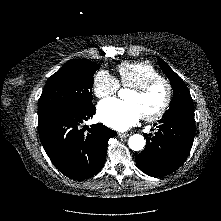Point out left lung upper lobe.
<instances>
[{
	"label": "left lung upper lobe",
	"mask_w": 221,
	"mask_h": 221,
	"mask_svg": "<svg viewBox=\"0 0 221 221\" xmlns=\"http://www.w3.org/2000/svg\"><path fill=\"white\" fill-rule=\"evenodd\" d=\"M158 62L163 72L169 78L174 91L170 108L163 117L194 115L193 100L184 81L159 57Z\"/></svg>",
	"instance_id": "1"
}]
</instances>
